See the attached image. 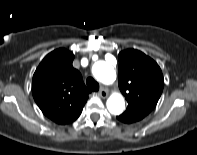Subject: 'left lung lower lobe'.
Wrapping results in <instances>:
<instances>
[{
    "label": "left lung lower lobe",
    "mask_w": 197,
    "mask_h": 155,
    "mask_svg": "<svg viewBox=\"0 0 197 155\" xmlns=\"http://www.w3.org/2000/svg\"><path fill=\"white\" fill-rule=\"evenodd\" d=\"M120 121H122V122H124V123H126L125 121H123L119 116L117 117Z\"/></svg>",
    "instance_id": "1"
}]
</instances>
